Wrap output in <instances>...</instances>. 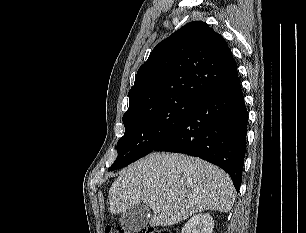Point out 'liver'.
I'll list each match as a JSON object with an SVG mask.
<instances>
[{
    "label": "liver",
    "mask_w": 306,
    "mask_h": 233,
    "mask_svg": "<svg viewBox=\"0 0 306 233\" xmlns=\"http://www.w3.org/2000/svg\"><path fill=\"white\" fill-rule=\"evenodd\" d=\"M234 200L235 188L226 172L177 153H151L134 162L109 190L112 214L143 203L153 211L152 227L172 226L204 210L228 213Z\"/></svg>",
    "instance_id": "obj_1"
}]
</instances>
